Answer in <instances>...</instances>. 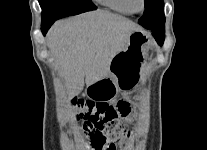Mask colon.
I'll return each mask as SVG.
<instances>
[{
    "instance_id": "obj_1",
    "label": "colon",
    "mask_w": 207,
    "mask_h": 150,
    "mask_svg": "<svg viewBox=\"0 0 207 150\" xmlns=\"http://www.w3.org/2000/svg\"><path fill=\"white\" fill-rule=\"evenodd\" d=\"M71 105L76 116L84 121L95 150H118L130 137L122 121L128 114H134L128 100L121 99L112 105L103 101L73 99Z\"/></svg>"
}]
</instances>
